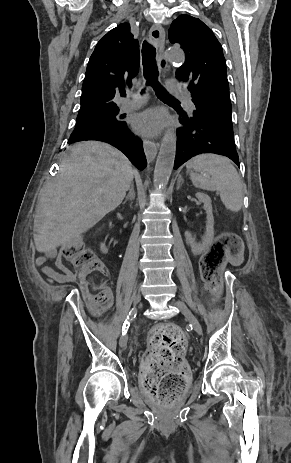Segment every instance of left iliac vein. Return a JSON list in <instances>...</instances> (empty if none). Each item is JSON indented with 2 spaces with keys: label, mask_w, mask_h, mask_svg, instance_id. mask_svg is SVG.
<instances>
[{
  "label": "left iliac vein",
  "mask_w": 291,
  "mask_h": 463,
  "mask_svg": "<svg viewBox=\"0 0 291 463\" xmlns=\"http://www.w3.org/2000/svg\"><path fill=\"white\" fill-rule=\"evenodd\" d=\"M172 304L180 309L181 313L185 316L188 322L192 325L194 331L197 334L201 335L202 334L201 324L199 323L195 315L191 312V310L188 308V306L184 302H181V301H173Z\"/></svg>",
  "instance_id": "obj_1"
}]
</instances>
